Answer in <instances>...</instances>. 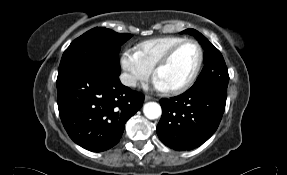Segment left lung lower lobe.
Listing matches in <instances>:
<instances>
[{
  "label": "left lung lower lobe",
  "instance_id": "0a47b994",
  "mask_svg": "<svg viewBox=\"0 0 287 175\" xmlns=\"http://www.w3.org/2000/svg\"><path fill=\"white\" fill-rule=\"evenodd\" d=\"M227 90L205 87L161 99L162 117L157 126L160 140L177 151L192 150L207 141L223 116Z\"/></svg>",
  "mask_w": 287,
  "mask_h": 175
}]
</instances>
